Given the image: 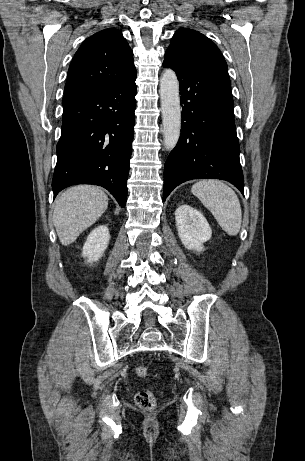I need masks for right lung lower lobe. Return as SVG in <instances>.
Segmentation results:
<instances>
[{
    "instance_id": "98d812e1",
    "label": "right lung lower lobe",
    "mask_w": 305,
    "mask_h": 461,
    "mask_svg": "<svg viewBox=\"0 0 305 461\" xmlns=\"http://www.w3.org/2000/svg\"><path fill=\"white\" fill-rule=\"evenodd\" d=\"M136 76L120 84L63 97L54 198L74 184L106 188L125 207L136 108Z\"/></svg>"
}]
</instances>
